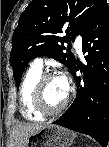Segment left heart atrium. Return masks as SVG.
I'll return each mask as SVG.
<instances>
[{
  "instance_id": "1",
  "label": "left heart atrium",
  "mask_w": 109,
  "mask_h": 147,
  "mask_svg": "<svg viewBox=\"0 0 109 147\" xmlns=\"http://www.w3.org/2000/svg\"><path fill=\"white\" fill-rule=\"evenodd\" d=\"M61 80L63 81V84L65 86L66 91L68 92V90H69V83H68L67 77L66 76H62Z\"/></svg>"
}]
</instances>
